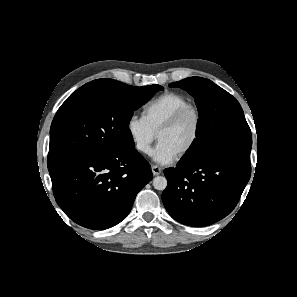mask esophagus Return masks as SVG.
Returning a JSON list of instances; mask_svg holds the SVG:
<instances>
[{"instance_id": "esophagus-1", "label": "esophagus", "mask_w": 297, "mask_h": 297, "mask_svg": "<svg viewBox=\"0 0 297 297\" xmlns=\"http://www.w3.org/2000/svg\"><path fill=\"white\" fill-rule=\"evenodd\" d=\"M151 169H152V173L154 176H157V175L161 174V172H162V169L157 165H153L151 167Z\"/></svg>"}]
</instances>
